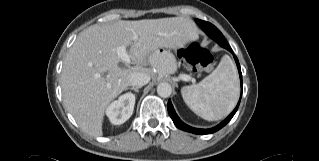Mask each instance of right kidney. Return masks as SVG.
Returning <instances> with one entry per match:
<instances>
[{
	"label": "right kidney",
	"mask_w": 319,
	"mask_h": 161,
	"mask_svg": "<svg viewBox=\"0 0 319 161\" xmlns=\"http://www.w3.org/2000/svg\"><path fill=\"white\" fill-rule=\"evenodd\" d=\"M134 105L135 95L125 93L107 107L106 115L112 124H123L133 114Z\"/></svg>",
	"instance_id": "obj_1"
}]
</instances>
